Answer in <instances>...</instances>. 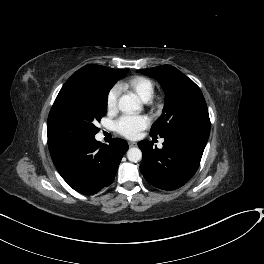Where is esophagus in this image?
Masks as SVG:
<instances>
[{
    "mask_svg": "<svg viewBox=\"0 0 264 264\" xmlns=\"http://www.w3.org/2000/svg\"><path fill=\"white\" fill-rule=\"evenodd\" d=\"M128 145H129V147H134V146L137 145V143H135V142H128Z\"/></svg>",
    "mask_w": 264,
    "mask_h": 264,
    "instance_id": "34e87169",
    "label": "esophagus"
}]
</instances>
